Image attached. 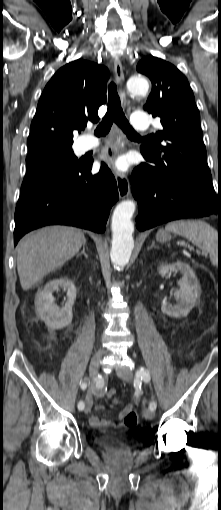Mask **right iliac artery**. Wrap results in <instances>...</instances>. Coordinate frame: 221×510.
Returning <instances> with one entry per match:
<instances>
[{"label": "right iliac artery", "instance_id": "right-iliac-artery-1", "mask_svg": "<svg viewBox=\"0 0 221 510\" xmlns=\"http://www.w3.org/2000/svg\"><path fill=\"white\" fill-rule=\"evenodd\" d=\"M81 388H82L83 390H85V389L87 388V382H86V381H84V382H82V383H81ZM77 406H78V409H79V410H83V409H84V407H85V405H84V402H83V401H80V402L78 403V405H77Z\"/></svg>", "mask_w": 221, "mask_h": 510}]
</instances>
